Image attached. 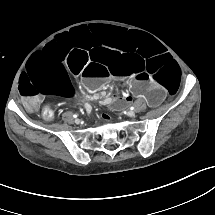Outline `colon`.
I'll return each instance as SVG.
<instances>
[{"instance_id":"obj_1","label":"colon","mask_w":215,"mask_h":215,"mask_svg":"<svg viewBox=\"0 0 215 215\" xmlns=\"http://www.w3.org/2000/svg\"><path fill=\"white\" fill-rule=\"evenodd\" d=\"M42 116L46 121H50L53 118V111L49 105H46L43 109Z\"/></svg>"}]
</instances>
